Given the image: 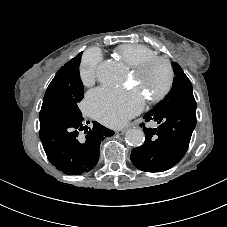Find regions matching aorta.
<instances>
[{
    "instance_id": "aorta-1",
    "label": "aorta",
    "mask_w": 227,
    "mask_h": 227,
    "mask_svg": "<svg viewBox=\"0 0 227 227\" xmlns=\"http://www.w3.org/2000/svg\"><path fill=\"white\" fill-rule=\"evenodd\" d=\"M121 66L118 62L106 60L102 62L97 71L99 81L106 85H115L121 80ZM126 140L132 146H141L145 141V134L141 129H129L126 132Z\"/></svg>"
}]
</instances>
